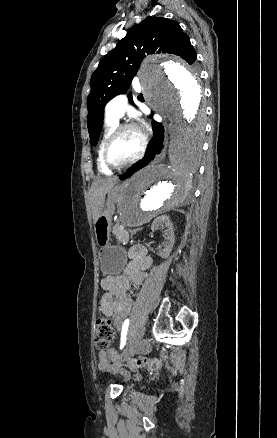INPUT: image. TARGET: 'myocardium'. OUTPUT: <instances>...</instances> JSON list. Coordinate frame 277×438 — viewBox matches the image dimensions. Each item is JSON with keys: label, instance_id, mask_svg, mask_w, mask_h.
<instances>
[{"label": "myocardium", "instance_id": "1", "mask_svg": "<svg viewBox=\"0 0 277 438\" xmlns=\"http://www.w3.org/2000/svg\"><path fill=\"white\" fill-rule=\"evenodd\" d=\"M125 131H134L139 136L140 149H139L138 153L136 154V156L134 158H132L131 160H129L125 163H122V164H114L109 159V150H110L111 145L115 141V139ZM146 145H147L146 137L144 136V134L142 133V131L140 130V128L137 125H135L133 123L120 124L111 132V134L109 135V137L107 138V140L104 144V147L102 150L103 163L111 170H121V169L127 168L142 158V156L145 152V149H146Z\"/></svg>", "mask_w": 277, "mask_h": 438}]
</instances>
